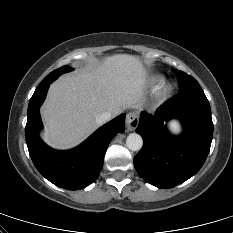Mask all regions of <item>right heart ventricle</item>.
Segmentation results:
<instances>
[{
	"instance_id": "obj_1",
	"label": "right heart ventricle",
	"mask_w": 233,
	"mask_h": 233,
	"mask_svg": "<svg viewBox=\"0 0 233 233\" xmlns=\"http://www.w3.org/2000/svg\"><path fill=\"white\" fill-rule=\"evenodd\" d=\"M159 79H160V77H159V76H156V77H154V78L152 79V81H153V82H157Z\"/></svg>"
}]
</instances>
